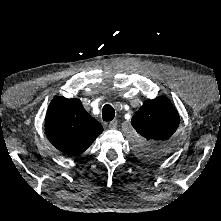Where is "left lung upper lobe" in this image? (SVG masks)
<instances>
[{
    "mask_svg": "<svg viewBox=\"0 0 221 221\" xmlns=\"http://www.w3.org/2000/svg\"><path fill=\"white\" fill-rule=\"evenodd\" d=\"M180 117L165 96L147 100L131 119L135 129V149L140 157L158 162L173 150L172 136Z\"/></svg>",
    "mask_w": 221,
    "mask_h": 221,
    "instance_id": "left-lung-upper-lobe-1",
    "label": "left lung upper lobe"
}]
</instances>
